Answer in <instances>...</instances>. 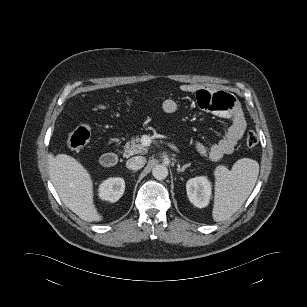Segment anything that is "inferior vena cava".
Instances as JSON below:
<instances>
[{
    "mask_svg": "<svg viewBox=\"0 0 307 307\" xmlns=\"http://www.w3.org/2000/svg\"><path fill=\"white\" fill-rule=\"evenodd\" d=\"M145 163H146L145 157L135 156V157L130 158L126 162V167L130 170H139L142 167H144Z\"/></svg>",
    "mask_w": 307,
    "mask_h": 307,
    "instance_id": "obj_1",
    "label": "inferior vena cava"
}]
</instances>
